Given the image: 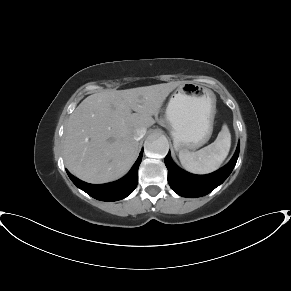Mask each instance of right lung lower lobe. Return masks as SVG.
I'll list each match as a JSON object with an SVG mask.
<instances>
[{
	"label": "right lung lower lobe",
	"instance_id": "obj_1",
	"mask_svg": "<svg viewBox=\"0 0 291 291\" xmlns=\"http://www.w3.org/2000/svg\"><path fill=\"white\" fill-rule=\"evenodd\" d=\"M143 149L140 152L135 164L126 176L112 183L107 184H89L79 180L67 171L69 178L81 190L91 197L101 201H117L130 195L138 183V168L142 160Z\"/></svg>",
	"mask_w": 291,
	"mask_h": 291
}]
</instances>
